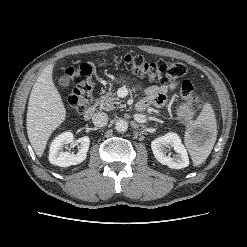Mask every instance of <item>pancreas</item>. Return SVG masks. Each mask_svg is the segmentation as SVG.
I'll return each instance as SVG.
<instances>
[{"label":"pancreas","instance_id":"cf45deb5","mask_svg":"<svg viewBox=\"0 0 247 247\" xmlns=\"http://www.w3.org/2000/svg\"><path fill=\"white\" fill-rule=\"evenodd\" d=\"M97 105H99L100 110L105 111L124 107V104L121 103L116 93H113L111 91L100 96V98L97 99Z\"/></svg>","mask_w":247,"mask_h":247}]
</instances>
